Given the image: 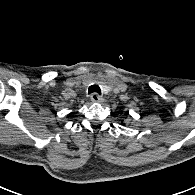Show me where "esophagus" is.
Returning <instances> with one entry per match:
<instances>
[{
	"instance_id": "1",
	"label": "esophagus",
	"mask_w": 195,
	"mask_h": 195,
	"mask_svg": "<svg viewBox=\"0 0 195 195\" xmlns=\"http://www.w3.org/2000/svg\"><path fill=\"white\" fill-rule=\"evenodd\" d=\"M90 99L93 103H101L103 102V98L102 96L98 95L97 93H93L91 96H90Z\"/></svg>"
}]
</instances>
